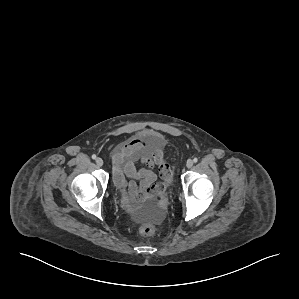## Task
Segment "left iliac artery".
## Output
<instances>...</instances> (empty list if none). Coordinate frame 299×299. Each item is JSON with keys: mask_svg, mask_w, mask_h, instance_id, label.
<instances>
[{"mask_svg": "<svg viewBox=\"0 0 299 299\" xmlns=\"http://www.w3.org/2000/svg\"><path fill=\"white\" fill-rule=\"evenodd\" d=\"M197 161H198V158L195 157V158L193 159V162L196 163Z\"/></svg>", "mask_w": 299, "mask_h": 299, "instance_id": "1", "label": "left iliac artery"}]
</instances>
